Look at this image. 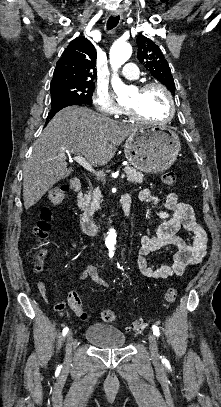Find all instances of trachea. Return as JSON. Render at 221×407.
Listing matches in <instances>:
<instances>
[{
	"mask_svg": "<svg viewBox=\"0 0 221 407\" xmlns=\"http://www.w3.org/2000/svg\"><path fill=\"white\" fill-rule=\"evenodd\" d=\"M120 20V16H111L109 17L108 21H107V29L111 30L114 27L117 26V24L119 23Z\"/></svg>",
	"mask_w": 221,
	"mask_h": 407,
	"instance_id": "obj_1",
	"label": "trachea"
}]
</instances>
